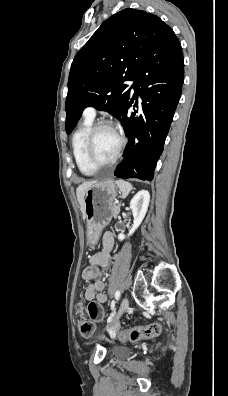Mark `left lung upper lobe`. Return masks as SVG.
<instances>
[{
	"label": "left lung upper lobe",
	"instance_id": "5c2ea615",
	"mask_svg": "<svg viewBox=\"0 0 228 396\" xmlns=\"http://www.w3.org/2000/svg\"><path fill=\"white\" fill-rule=\"evenodd\" d=\"M170 28L142 10L126 8L105 20L76 54L68 79L67 134L88 106L104 110L120 120L131 87L154 39Z\"/></svg>",
	"mask_w": 228,
	"mask_h": 396
}]
</instances>
